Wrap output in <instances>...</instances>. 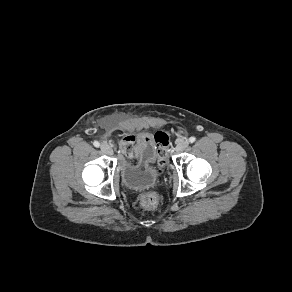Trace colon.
Returning <instances> with one entry per match:
<instances>
[{"mask_svg":"<svg viewBox=\"0 0 292 292\" xmlns=\"http://www.w3.org/2000/svg\"><path fill=\"white\" fill-rule=\"evenodd\" d=\"M155 140L158 145V166L161 171L166 165V153L170 144V134L160 131L155 134ZM139 203L144 209H154L159 203V197L155 192L148 191L140 194Z\"/></svg>","mask_w":292,"mask_h":292,"instance_id":"1","label":"colon"}]
</instances>
